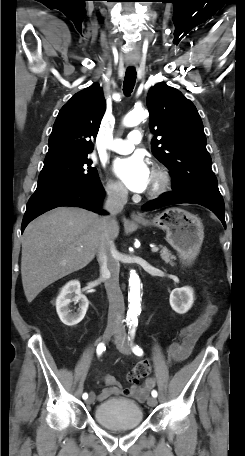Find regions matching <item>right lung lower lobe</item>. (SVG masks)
I'll return each instance as SVG.
<instances>
[{
  "label": "right lung lower lobe",
  "instance_id": "obj_1",
  "mask_svg": "<svg viewBox=\"0 0 245 456\" xmlns=\"http://www.w3.org/2000/svg\"><path fill=\"white\" fill-rule=\"evenodd\" d=\"M104 190L99 182L92 187L68 188L43 194H34L28 201L21 231L39 215L59 206H78L99 212ZM104 213V212H102Z\"/></svg>",
  "mask_w": 245,
  "mask_h": 456
}]
</instances>
